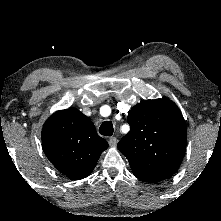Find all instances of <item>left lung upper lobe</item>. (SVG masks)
<instances>
[{"instance_id": "obj_1", "label": "left lung upper lobe", "mask_w": 221, "mask_h": 221, "mask_svg": "<svg viewBox=\"0 0 221 221\" xmlns=\"http://www.w3.org/2000/svg\"><path fill=\"white\" fill-rule=\"evenodd\" d=\"M130 131L118 143L133 174L155 183L172 176L186 147V125L178 106L168 98L135 105L127 117Z\"/></svg>"}]
</instances>
